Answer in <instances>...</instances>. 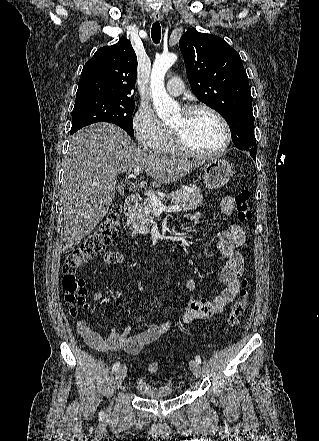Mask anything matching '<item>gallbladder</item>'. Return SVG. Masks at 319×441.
Wrapping results in <instances>:
<instances>
[{
	"label": "gallbladder",
	"instance_id": "bac80fb5",
	"mask_svg": "<svg viewBox=\"0 0 319 441\" xmlns=\"http://www.w3.org/2000/svg\"><path fill=\"white\" fill-rule=\"evenodd\" d=\"M118 191L120 192V193H122L123 192V186L122 185H118Z\"/></svg>",
	"mask_w": 319,
	"mask_h": 441
}]
</instances>
